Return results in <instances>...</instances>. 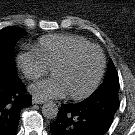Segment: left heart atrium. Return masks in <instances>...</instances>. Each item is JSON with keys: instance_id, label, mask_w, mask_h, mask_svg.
Returning <instances> with one entry per match:
<instances>
[{"instance_id": "39dd6f15", "label": "left heart atrium", "mask_w": 135, "mask_h": 135, "mask_svg": "<svg viewBox=\"0 0 135 135\" xmlns=\"http://www.w3.org/2000/svg\"><path fill=\"white\" fill-rule=\"evenodd\" d=\"M29 92L41 100L62 98L68 93L62 80L54 75L32 84Z\"/></svg>"}]
</instances>
